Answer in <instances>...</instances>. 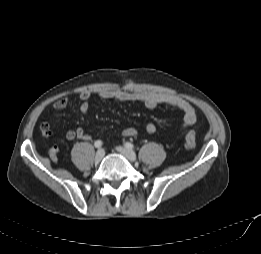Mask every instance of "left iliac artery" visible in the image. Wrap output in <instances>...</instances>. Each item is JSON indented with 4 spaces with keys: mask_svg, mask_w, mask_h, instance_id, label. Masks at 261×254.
I'll return each mask as SVG.
<instances>
[{
    "mask_svg": "<svg viewBox=\"0 0 261 254\" xmlns=\"http://www.w3.org/2000/svg\"><path fill=\"white\" fill-rule=\"evenodd\" d=\"M125 147H126L127 149H130V150L134 149V145H133L132 143H130V142H126V143H125Z\"/></svg>",
    "mask_w": 261,
    "mask_h": 254,
    "instance_id": "44dca946",
    "label": "left iliac artery"
}]
</instances>
